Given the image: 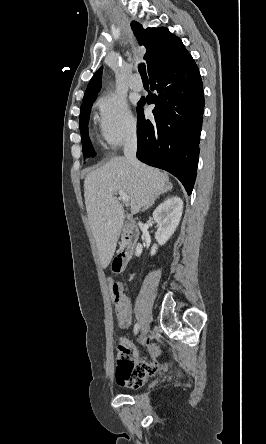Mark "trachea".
Returning <instances> with one entry per match:
<instances>
[{"label":"trachea","instance_id":"obj_1","mask_svg":"<svg viewBox=\"0 0 266 444\" xmlns=\"http://www.w3.org/2000/svg\"><path fill=\"white\" fill-rule=\"evenodd\" d=\"M138 70H139V73H140L142 79H148L147 72H146V65L144 63H140L138 65Z\"/></svg>","mask_w":266,"mask_h":444}]
</instances>
